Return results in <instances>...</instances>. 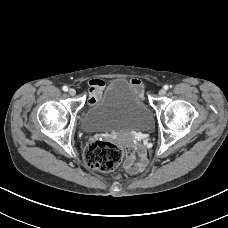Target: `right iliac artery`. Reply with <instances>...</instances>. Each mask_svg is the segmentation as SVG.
Listing matches in <instances>:
<instances>
[{
  "instance_id": "right-iliac-artery-1",
  "label": "right iliac artery",
  "mask_w": 228,
  "mask_h": 228,
  "mask_svg": "<svg viewBox=\"0 0 228 228\" xmlns=\"http://www.w3.org/2000/svg\"><path fill=\"white\" fill-rule=\"evenodd\" d=\"M62 89H63V91H65V92L68 91V87H67V86H63Z\"/></svg>"
}]
</instances>
